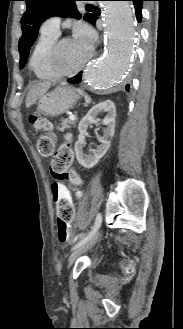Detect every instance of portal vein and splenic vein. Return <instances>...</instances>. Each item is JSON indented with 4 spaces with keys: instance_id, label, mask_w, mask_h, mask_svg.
<instances>
[{
    "instance_id": "obj_1",
    "label": "portal vein and splenic vein",
    "mask_w": 183,
    "mask_h": 329,
    "mask_svg": "<svg viewBox=\"0 0 183 329\" xmlns=\"http://www.w3.org/2000/svg\"><path fill=\"white\" fill-rule=\"evenodd\" d=\"M75 118H76V117H75V115H73V114H71V115L69 116V119H70V120H75Z\"/></svg>"
}]
</instances>
